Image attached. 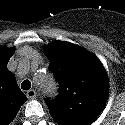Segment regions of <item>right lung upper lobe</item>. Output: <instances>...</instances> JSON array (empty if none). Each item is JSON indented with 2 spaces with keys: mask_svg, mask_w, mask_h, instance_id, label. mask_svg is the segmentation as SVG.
Here are the masks:
<instances>
[{
  "mask_svg": "<svg viewBox=\"0 0 125 125\" xmlns=\"http://www.w3.org/2000/svg\"><path fill=\"white\" fill-rule=\"evenodd\" d=\"M14 52V48L0 46V125H8L27 101L14 75L7 69V63Z\"/></svg>",
  "mask_w": 125,
  "mask_h": 125,
  "instance_id": "1",
  "label": "right lung upper lobe"
}]
</instances>
